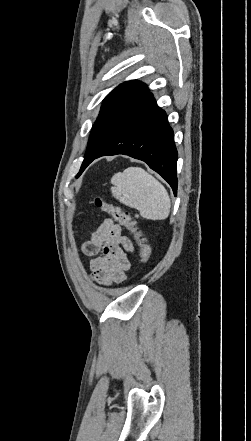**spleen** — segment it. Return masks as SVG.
<instances>
[{
	"label": "spleen",
	"instance_id": "3e777b00",
	"mask_svg": "<svg viewBox=\"0 0 251 441\" xmlns=\"http://www.w3.org/2000/svg\"><path fill=\"white\" fill-rule=\"evenodd\" d=\"M114 198L140 212L145 219L163 220L171 201L165 187L141 167H128L111 179Z\"/></svg>",
	"mask_w": 251,
	"mask_h": 441
}]
</instances>
